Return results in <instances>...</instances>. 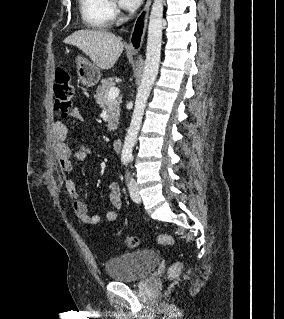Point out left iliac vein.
I'll use <instances>...</instances> for the list:
<instances>
[{"instance_id": "left-iliac-vein-1", "label": "left iliac vein", "mask_w": 284, "mask_h": 319, "mask_svg": "<svg viewBox=\"0 0 284 319\" xmlns=\"http://www.w3.org/2000/svg\"><path fill=\"white\" fill-rule=\"evenodd\" d=\"M129 192H130V197L134 202L140 203L142 201L141 195L139 193L138 184L136 183L134 179L130 180Z\"/></svg>"}]
</instances>
